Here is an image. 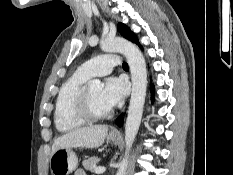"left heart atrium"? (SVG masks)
<instances>
[{
	"mask_svg": "<svg viewBox=\"0 0 233 175\" xmlns=\"http://www.w3.org/2000/svg\"><path fill=\"white\" fill-rule=\"evenodd\" d=\"M127 92L128 86L123 79L110 77L104 82L101 90V99L103 103L111 109L123 101Z\"/></svg>",
	"mask_w": 233,
	"mask_h": 175,
	"instance_id": "left-heart-atrium-1",
	"label": "left heart atrium"
}]
</instances>
